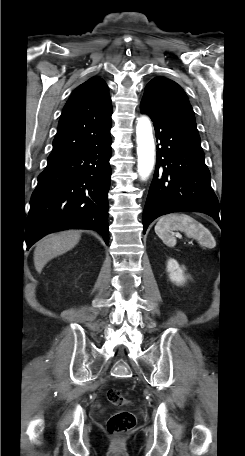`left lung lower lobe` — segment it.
Instances as JSON below:
<instances>
[{"label": "left lung lower lobe", "mask_w": 245, "mask_h": 456, "mask_svg": "<svg viewBox=\"0 0 245 456\" xmlns=\"http://www.w3.org/2000/svg\"><path fill=\"white\" fill-rule=\"evenodd\" d=\"M140 111L150 116L160 141L143 212V232L157 217L178 211L202 212L218 222V199L210 184L198 132L144 105Z\"/></svg>", "instance_id": "1"}]
</instances>
